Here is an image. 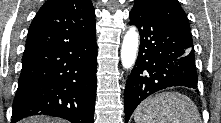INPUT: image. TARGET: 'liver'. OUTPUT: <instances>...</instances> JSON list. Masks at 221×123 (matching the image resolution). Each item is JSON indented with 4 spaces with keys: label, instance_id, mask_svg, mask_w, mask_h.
I'll list each match as a JSON object with an SVG mask.
<instances>
[{
    "label": "liver",
    "instance_id": "obj_1",
    "mask_svg": "<svg viewBox=\"0 0 221 123\" xmlns=\"http://www.w3.org/2000/svg\"><path fill=\"white\" fill-rule=\"evenodd\" d=\"M20 123H65V121L45 116H33L28 119L22 120Z\"/></svg>",
    "mask_w": 221,
    "mask_h": 123
}]
</instances>
